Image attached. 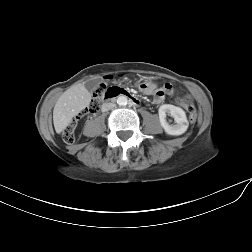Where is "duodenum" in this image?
Segmentation results:
<instances>
[{"label": "duodenum", "mask_w": 252, "mask_h": 252, "mask_svg": "<svg viewBox=\"0 0 252 252\" xmlns=\"http://www.w3.org/2000/svg\"><path fill=\"white\" fill-rule=\"evenodd\" d=\"M118 96L126 97L130 101V103L135 105V106H138L140 104V100L137 97H135L134 95H132L131 93H129V92L123 90V89L118 90V92L107 96L105 99L106 100H111V99H114V98H116ZM105 105H106V102L103 103V106H105Z\"/></svg>", "instance_id": "410a0bca"}]
</instances>
